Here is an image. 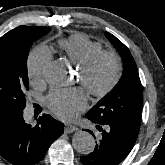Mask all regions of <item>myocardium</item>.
<instances>
[{
  "label": "myocardium",
  "mask_w": 165,
  "mask_h": 165,
  "mask_svg": "<svg viewBox=\"0 0 165 165\" xmlns=\"http://www.w3.org/2000/svg\"><path fill=\"white\" fill-rule=\"evenodd\" d=\"M103 59H109L113 64V74L109 82L102 86L96 87L90 77L98 63ZM122 62L120 57L113 51L100 50L91 55L86 61L79 66V81L80 84L88 91L89 94L95 97H104L108 95L118 84L122 75Z\"/></svg>",
  "instance_id": "myocardium-1"
}]
</instances>
